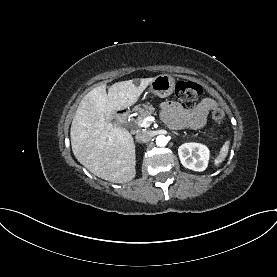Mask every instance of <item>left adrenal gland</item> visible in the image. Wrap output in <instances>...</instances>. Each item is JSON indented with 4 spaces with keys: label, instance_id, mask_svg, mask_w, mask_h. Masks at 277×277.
I'll return each mask as SVG.
<instances>
[{
    "label": "left adrenal gland",
    "instance_id": "obj_1",
    "mask_svg": "<svg viewBox=\"0 0 277 277\" xmlns=\"http://www.w3.org/2000/svg\"><path fill=\"white\" fill-rule=\"evenodd\" d=\"M175 135H179L177 132H173Z\"/></svg>",
    "mask_w": 277,
    "mask_h": 277
}]
</instances>
